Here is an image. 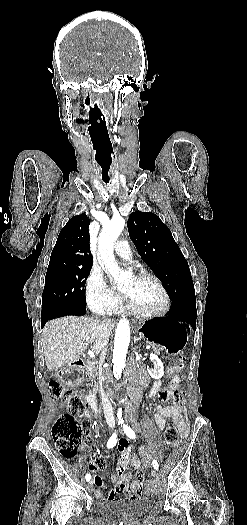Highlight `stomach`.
<instances>
[{"mask_svg": "<svg viewBox=\"0 0 247 525\" xmlns=\"http://www.w3.org/2000/svg\"><path fill=\"white\" fill-rule=\"evenodd\" d=\"M137 330L150 344L162 346L171 355L180 353L189 338V326L179 319L155 317L141 322Z\"/></svg>", "mask_w": 247, "mask_h": 525, "instance_id": "1", "label": "stomach"}]
</instances>
